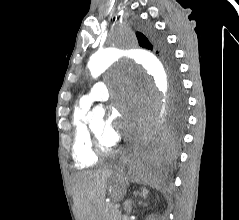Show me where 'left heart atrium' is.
Returning <instances> with one entry per match:
<instances>
[{
  "instance_id": "left-heart-atrium-1",
  "label": "left heart atrium",
  "mask_w": 239,
  "mask_h": 220,
  "mask_svg": "<svg viewBox=\"0 0 239 220\" xmlns=\"http://www.w3.org/2000/svg\"><path fill=\"white\" fill-rule=\"evenodd\" d=\"M132 108V103L126 98H120L116 101V108H113L103 130V138L114 145L121 137L120 131H130L135 123L128 114Z\"/></svg>"
}]
</instances>
